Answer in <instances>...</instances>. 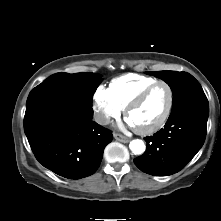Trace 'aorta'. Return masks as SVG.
<instances>
[{
    "instance_id": "1",
    "label": "aorta",
    "mask_w": 221,
    "mask_h": 221,
    "mask_svg": "<svg viewBox=\"0 0 221 221\" xmlns=\"http://www.w3.org/2000/svg\"><path fill=\"white\" fill-rule=\"evenodd\" d=\"M129 148L135 155H140L145 151V144L140 139L132 140L129 144Z\"/></svg>"
}]
</instances>
